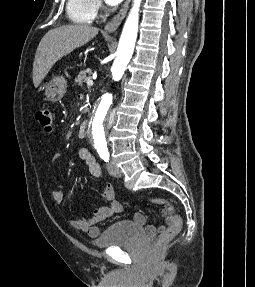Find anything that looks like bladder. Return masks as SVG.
Instances as JSON below:
<instances>
[{"label":"bladder","mask_w":255,"mask_h":287,"mask_svg":"<svg viewBox=\"0 0 255 287\" xmlns=\"http://www.w3.org/2000/svg\"><path fill=\"white\" fill-rule=\"evenodd\" d=\"M145 232L146 229L134 221L122 220L104 230L93 243L100 248L131 244L141 238Z\"/></svg>","instance_id":"1"}]
</instances>
